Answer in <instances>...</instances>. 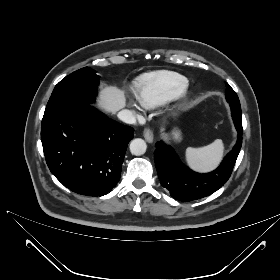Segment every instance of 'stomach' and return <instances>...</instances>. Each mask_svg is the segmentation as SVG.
<instances>
[{"label":"stomach","mask_w":280,"mask_h":280,"mask_svg":"<svg viewBox=\"0 0 280 280\" xmlns=\"http://www.w3.org/2000/svg\"><path fill=\"white\" fill-rule=\"evenodd\" d=\"M172 138H173L175 141L179 142V141L182 139L181 132H180L179 130H174V131L172 132Z\"/></svg>","instance_id":"obj_1"}]
</instances>
